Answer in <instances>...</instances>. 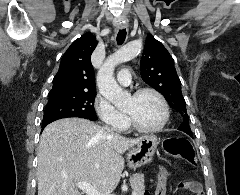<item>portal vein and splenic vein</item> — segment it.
I'll list each match as a JSON object with an SVG mask.
<instances>
[{"label": "portal vein and splenic vein", "instance_id": "obj_1", "mask_svg": "<svg viewBox=\"0 0 240 195\" xmlns=\"http://www.w3.org/2000/svg\"><path fill=\"white\" fill-rule=\"evenodd\" d=\"M76 187H79V189H82V191H85L87 195H106V193H101V191H97L91 183H88V181H78V183H75ZM132 195H135V193H132Z\"/></svg>", "mask_w": 240, "mask_h": 195}]
</instances>
